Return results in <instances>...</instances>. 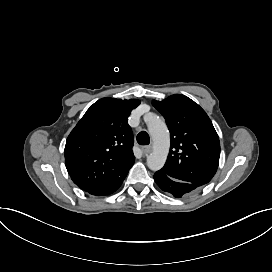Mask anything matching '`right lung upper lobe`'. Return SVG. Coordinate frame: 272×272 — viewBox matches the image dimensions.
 Masks as SVG:
<instances>
[{"label": "right lung upper lobe", "mask_w": 272, "mask_h": 272, "mask_svg": "<svg viewBox=\"0 0 272 272\" xmlns=\"http://www.w3.org/2000/svg\"><path fill=\"white\" fill-rule=\"evenodd\" d=\"M137 99L102 98L67 138L65 164L73 182L89 192L108 187L134 164L133 134L127 119Z\"/></svg>", "instance_id": "1"}]
</instances>
